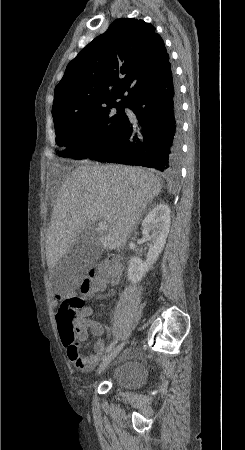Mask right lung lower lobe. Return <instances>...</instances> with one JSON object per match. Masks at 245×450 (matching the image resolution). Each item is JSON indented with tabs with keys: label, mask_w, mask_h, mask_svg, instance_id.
Listing matches in <instances>:
<instances>
[{
	"label": "right lung lower lobe",
	"mask_w": 245,
	"mask_h": 450,
	"mask_svg": "<svg viewBox=\"0 0 245 450\" xmlns=\"http://www.w3.org/2000/svg\"><path fill=\"white\" fill-rule=\"evenodd\" d=\"M127 107L138 121L134 123L127 117L118 138L88 158L177 174L181 163V109L171 69L142 89Z\"/></svg>",
	"instance_id": "98d812e1"
}]
</instances>
